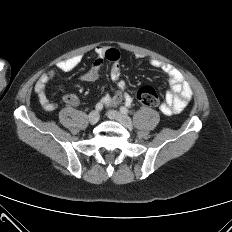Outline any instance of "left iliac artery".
Listing matches in <instances>:
<instances>
[{
	"label": "left iliac artery",
	"instance_id": "obj_1",
	"mask_svg": "<svg viewBox=\"0 0 232 232\" xmlns=\"http://www.w3.org/2000/svg\"><path fill=\"white\" fill-rule=\"evenodd\" d=\"M120 111H121V113H123V114H127V113L129 112L128 108H126V107H124V106H122V107L120 108Z\"/></svg>",
	"mask_w": 232,
	"mask_h": 232
}]
</instances>
